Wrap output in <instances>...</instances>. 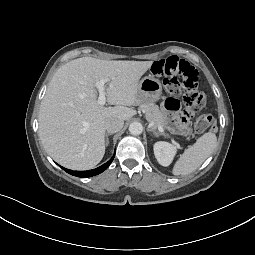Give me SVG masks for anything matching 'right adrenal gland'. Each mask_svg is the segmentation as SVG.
I'll use <instances>...</instances> for the list:
<instances>
[{
	"label": "right adrenal gland",
	"mask_w": 255,
	"mask_h": 255,
	"mask_svg": "<svg viewBox=\"0 0 255 255\" xmlns=\"http://www.w3.org/2000/svg\"><path fill=\"white\" fill-rule=\"evenodd\" d=\"M111 135L110 133H106L105 138H106V146L109 144V138L108 136Z\"/></svg>",
	"instance_id": "right-adrenal-gland-1"
}]
</instances>
